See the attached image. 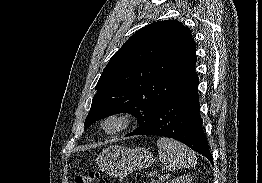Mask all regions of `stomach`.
<instances>
[{"label": "stomach", "mask_w": 262, "mask_h": 183, "mask_svg": "<svg viewBox=\"0 0 262 183\" xmlns=\"http://www.w3.org/2000/svg\"><path fill=\"white\" fill-rule=\"evenodd\" d=\"M153 163V155L147 148L135 149L123 146H110L103 150L98 158L99 168L110 176H127L135 170L149 167Z\"/></svg>", "instance_id": "stomach-1"}]
</instances>
